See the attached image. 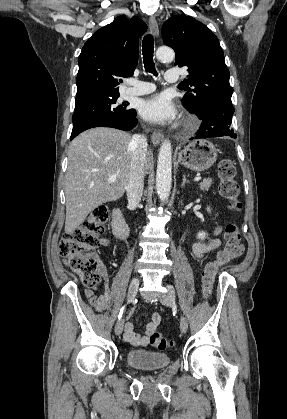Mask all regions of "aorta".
Wrapping results in <instances>:
<instances>
[{"instance_id": "obj_1", "label": "aorta", "mask_w": 287, "mask_h": 419, "mask_svg": "<svg viewBox=\"0 0 287 419\" xmlns=\"http://www.w3.org/2000/svg\"><path fill=\"white\" fill-rule=\"evenodd\" d=\"M157 59L172 61L175 57L173 49L159 47L156 51ZM172 185V145L165 139L160 147L156 171V190L161 201H166L170 195Z\"/></svg>"}]
</instances>
